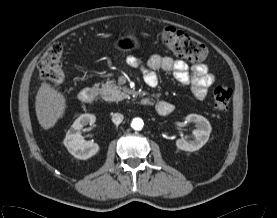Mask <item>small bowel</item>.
<instances>
[{
	"mask_svg": "<svg viewBox=\"0 0 277 218\" xmlns=\"http://www.w3.org/2000/svg\"><path fill=\"white\" fill-rule=\"evenodd\" d=\"M126 62L131 67L141 68L144 81L150 87H155L158 83V77L156 74L157 71L161 70L164 72H173L176 80L179 83L189 85L191 87L193 95L198 100L205 99L208 93V88L215 81V76L210 73L208 71V67L202 63L195 64L190 67L183 60L173 59L172 57L161 56L159 54L152 55L149 58L146 67H144L141 64V61L135 56H128ZM162 101L167 102L164 100H161L159 102ZM169 104L171 105V103ZM158 113L161 114L159 111Z\"/></svg>",
	"mask_w": 277,
	"mask_h": 218,
	"instance_id": "1",
	"label": "small bowel"
}]
</instances>
